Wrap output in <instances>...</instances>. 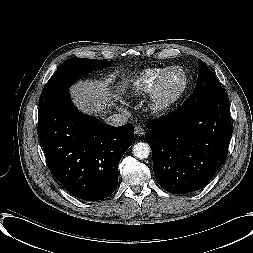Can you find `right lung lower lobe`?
I'll return each instance as SVG.
<instances>
[{"label":"right lung lower lobe","mask_w":253,"mask_h":253,"mask_svg":"<svg viewBox=\"0 0 253 253\" xmlns=\"http://www.w3.org/2000/svg\"><path fill=\"white\" fill-rule=\"evenodd\" d=\"M38 137L63 187L79 199L96 201L117 188L118 163L134 129L131 123L113 127L79 113L67 92L39 115Z\"/></svg>","instance_id":"obj_1"}]
</instances>
